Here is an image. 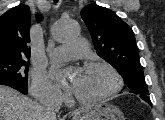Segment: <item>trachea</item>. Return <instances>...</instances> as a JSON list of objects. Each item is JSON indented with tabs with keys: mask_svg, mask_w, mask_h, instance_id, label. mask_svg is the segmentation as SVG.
Masks as SVG:
<instances>
[{
	"mask_svg": "<svg viewBox=\"0 0 165 120\" xmlns=\"http://www.w3.org/2000/svg\"><path fill=\"white\" fill-rule=\"evenodd\" d=\"M54 2H55V3H57V2H58V0H54Z\"/></svg>",
	"mask_w": 165,
	"mask_h": 120,
	"instance_id": "1",
	"label": "trachea"
}]
</instances>
